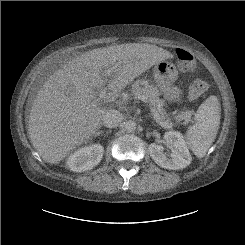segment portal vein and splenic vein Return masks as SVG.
I'll return each mask as SVG.
<instances>
[{
  "mask_svg": "<svg viewBox=\"0 0 245 245\" xmlns=\"http://www.w3.org/2000/svg\"><path fill=\"white\" fill-rule=\"evenodd\" d=\"M113 72V68H110V69H107L105 71V73L107 75H111ZM99 96L100 98H103L106 96V91L105 89H102L100 92H99ZM136 98L141 100L142 102H144L150 109L154 119L156 120V122H158L162 127H165V128H171L172 127V123H169L167 121H163L160 117V114L158 113V111L152 106V104L149 102V100L147 99L146 96L144 95H141V94H138L136 95Z\"/></svg>",
  "mask_w": 245,
  "mask_h": 245,
  "instance_id": "18ae733b",
  "label": "portal vein and splenic vein"
}]
</instances>
